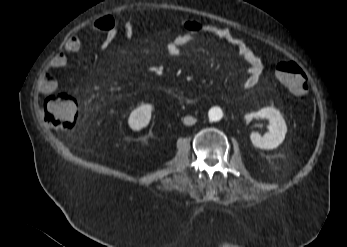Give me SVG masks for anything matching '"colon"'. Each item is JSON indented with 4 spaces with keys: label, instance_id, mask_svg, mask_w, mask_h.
<instances>
[{
    "label": "colon",
    "instance_id": "5ec220e1",
    "mask_svg": "<svg viewBox=\"0 0 347 247\" xmlns=\"http://www.w3.org/2000/svg\"><path fill=\"white\" fill-rule=\"evenodd\" d=\"M276 77L294 96L303 100L308 94V79L304 70L294 61H283L276 66ZM77 101L67 94L53 93L44 101V119L59 132H69L76 124Z\"/></svg>",
    "mask_w": 347,
    "mask_h": 247
}]
</instances>
